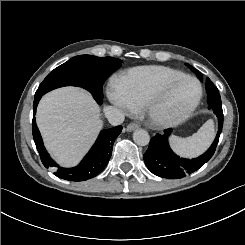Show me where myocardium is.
<instances>
[{"label":"myocardium","mask_w":245,"mask_h":245,"mask_svg":"<svg viewBox=\"0 0 245 245\" xmlns=\"http://www.w3.org/2000/svg\"><path fill=\"white\" fill-rule=\"evenodd\" d=\"M185 80L192 81L197 86V95L195 100L188 108L181 112L173 113L165 110L160 102L159 94L164 89ZM202 93L203 91L200 82L192 76L184 75L176 78L161 79L157 81L148 91L143 105L148 117L154 124L159 126H167L187 118L198 106L202 98Z\"/></svg>","instance_id":"1"}]
</instances>
